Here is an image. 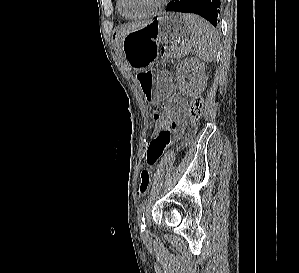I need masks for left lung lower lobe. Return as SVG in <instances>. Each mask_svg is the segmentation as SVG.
I'll list each match as a JSON object with an SVG mask.
<instances>
[{
	"instance_id": "0a47b994",
	"label": "left lung lower lobe",
	"mask_w": 299,
	"mask_h": 273,
	"mask_svg": "<svg viewBox=\"0 0 299 273\" xmlns=\"http://www.w3.org/2000/svg\"><path fill=\"white\" fill-rule=\"evenodd\" d=\"M220 5L221 0H172L166 11L196 13L216 27L219 23Z\"/></svg>"
}]
</instances>
